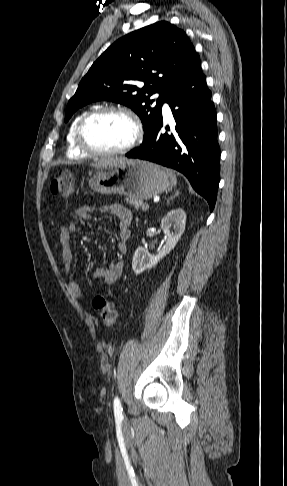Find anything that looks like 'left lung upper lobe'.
<instances>
[{"label":"left lung upper lobe","mask_w":287,"mask_h":486,"mask_svg":"<svg viewBox=\"0 0 287 486\" xmlns=\"http://www.w3.org/2000/svg\"><path fill=\"white\" fill-rule=\"evenodd\" d=\"M199 60L185 32L169 22L131 32L93 63L68 102L65 121L88 103L108 100L130 107L146 133L162 116L168 88ZM137 81L144 82V87H137ZM155 93H159L157 100L150 98Z\"/></svg>","instance_id":"left-lung-upper-lobe-1"}]
</instances>
